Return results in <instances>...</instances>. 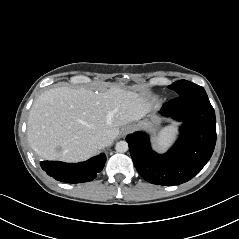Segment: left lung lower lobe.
I'll list each match as a JSON object with an SVG mask.
<instances>
[{"instance_id":"1","label":"left lung lower lobe","mask_w":239,"mask_h":239,"mask_svg":"<svg viewBox=\"0 0 239 239\" xmlns=\"http://www.w3.org/2000/svg\"><path fill=\"white\" fill-rule=\"evenodd\" d=\"M164 116L182 121L180 136L165 154L155 153L149 137L135 132L126 137L139 174L157 185H177L192 179L209 161L216 143V118L204 89L165 103Z\"/></svg>"}]
</instances>
